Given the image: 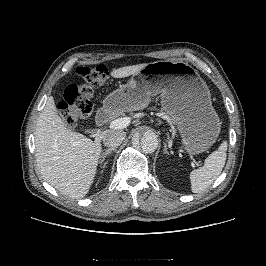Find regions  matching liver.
<instances>
[{"instance_id":"liver-1","label":"liver","mask_w":266,"mask_h":266,"mask_svg":"<svg viewBox=\"0 0 266 266\" xmlns=\"http://www.w3.org/2000/svg\"><path fill=\"white\" fill-rule=\"evenodd\" d=\"M147 64L114 69L111 76L124 78L136 74ZM122 131V130H118ZM105 132L91 140L68 129L60 116L52 96L39 115L35 130V156L42 177L61 194L81 199L93 184Z\"/></svg>"}]
</instances>
